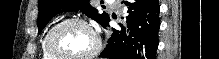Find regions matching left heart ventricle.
I'll return each mask as SVG.
<instances>
[{
	"label": "left heart ventricle",
	"mask_w": 219,
	"mask_h": 59,
	"mask_svg": "<svg viewBox=\"0 0 219 59\" xmlns=\"http://www.w3.org/2000/svg\"><path fill=\"white\" fill-rule=\"evenodd\" d=\"M56 49L66 56H80L92 50L95 41L87 28L69 24L61 28L54 39Z\"/></svg>",
	"instance_id": "obj_1"
}]
</instances>
